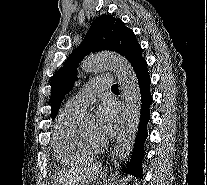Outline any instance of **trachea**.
<instances>
[{
	"label": "trachea",
	"mask_w": 207,
	"mask_h": 185,
	"mask_svg": "<svg viewBox=\"0 0 207 185\" xmlns=\"http://www.w3.org/2000/svg\"><path fill=\"white\" fill-rule=\"evenodd\" d=\"M111 90H118V85L116 83L112 85Z\"/></svg>",
	"instance_id": "trachea-1"
}]
</instances>
